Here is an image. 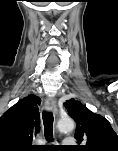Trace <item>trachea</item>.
I'll return each mask as SVG.
<instances>
[{"label":"trachea","mask_w":118,"mask_h":151,"mask_svg":"<svg viewBox=\"0 0 118 151\" xmlns=\"http://www.w3.org/2000/svg\"><path fill=\"white\" fill-rule=\"evenodd\" d=\"M44 134L47 140H52L53 136V115L51 112H43Z\"/></svg>","instance_id":"obj_1"}]
</instances>
